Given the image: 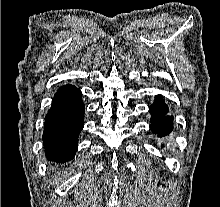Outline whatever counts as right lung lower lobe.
<instances>
[{
  "mask_svg": "<svg viewBox=\"0 0 220 207\" xmlns=\"http://www.w3.org/2000/svg\"><path fill=\"white\" fill-rule=\"evenodd\" d=\"M84 111L78 88L70 84L59 88L46 115L42 137L49 160L60 163L74 157L78 136L84 126Z\"/></svg>",
  "mask_w": 220,
  "mask_h": 207,
  "instance_id": "right-lung-lower-lobe-1",
  "label": "right lung lower lobe"
}]
</instances>
